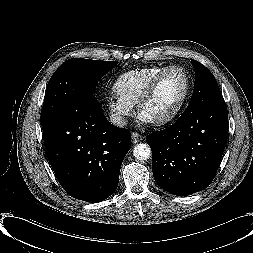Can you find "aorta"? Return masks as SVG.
Here are the masks:
<instances>
[{
  "instance_id": "1",
  "label": "aorta",
  "mask_w": 253,
  "mask_h": 253,
  "mask_svg": "<svg viewBox=\"0 0 253 253\" xmlns=\"http://www.w3.org/2000/svg\"><path fill=\"white\" fill-rule=\"evenodd\" d=\"M133 155L140 161H146L151 156V148L146 143H139L134 147Z\"/></svg>"
}]
</instances>
